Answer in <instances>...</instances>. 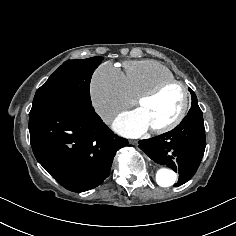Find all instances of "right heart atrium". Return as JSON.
<instances>
[{
    "mask_svg": "<svg viewBox=\"0 0 236 236\" xmlns=\"http://www.w3.org/2000/svg\"><path fill=\"white\" fill-rule=\"evenodd\" d=\"M92 107L98 118L109 123L130 104V94L124 75L111 63L101 64L90 81Z\"/></svg>",
    "mask_w": 236,
    "mask_h": 236,
    "instance_id": "right-heart-atrium-1",
    "label": "right heart atrium"
}]
</instances>
